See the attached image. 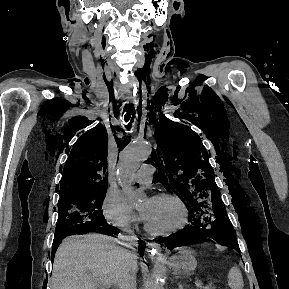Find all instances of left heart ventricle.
<instances>
[{"mask_svg": "<svg viewBox=\"0 0 289 289\" xmlns=\"http://www.w3.org/2000/svg\"><path fill=\"white\" fill-rule=\"evenodd\" d=\"M148 207V215L144 220L153 230L165 231L179 226L183 221V212L172 200H144L140 210Z\"/></svg>", "mask_w": 289, "mask_h": 289, "instance_id": "b2bd125f", "label": "left heart ventricle"}]
</instances>
